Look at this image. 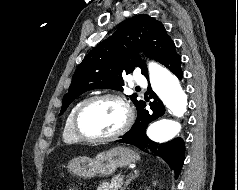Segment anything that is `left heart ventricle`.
<instances>
[{
    "label": "left heart ventricle",
    "instance_id": "left-heart-ventricle-1",
    "mask_svg": "<svg viewBox=\"0 0 238 190\" xmlns=\"http://www.w3.org/2000/svg\"><path fill=\"white\" fill-rule=\"evenodd\" d=\"M125 120L122 106L114 100H101L85 109L80 118L81 130L91 136H105L117 131Z\"/></svg>",
    "mask_w": 238,
    "mask_h": 190
}]
</instances>
